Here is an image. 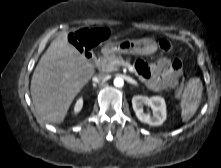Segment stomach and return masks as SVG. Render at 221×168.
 <instances>
[{
	"label": "stomach",
	"mask_w": 221,
	"mask_h": 168,
	"mask_svg": "<svg viewBox=\"0 0 221 168\" xmlns=\"http://www.w3.org/2000/svg\"><path fill=\"white\" fill-rule=\"evenodd\" d=\"M157 51V44L153 39L123 40L120 42H108L103 48L105 54H139L150 55Z\"/></svg>",
	"instance_id": "obj_1"
}]
</instances>
